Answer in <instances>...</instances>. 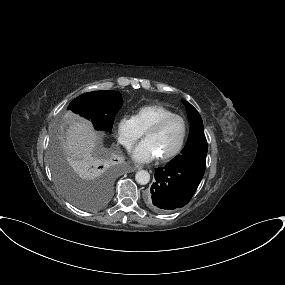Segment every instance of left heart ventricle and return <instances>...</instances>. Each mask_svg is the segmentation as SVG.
<instances>
[{
	"instance_id": "obj_1",
	"label": "left heart ventricle",
	"mask_w": 285,
	"mask_h": 285,
	"mask_svg": "<svg viewBox=\"0 0 285 285\" xmlns=\"http://www.w3.org/2000/svg\"><path fill=\"white\" fill-rule=\"evenodd\" d=\"M183 125L179 119L169 121L162 129L148 134L145 139L155 148L158 156L167 155L180 143Z\"/></svg>"
}]
</instances>
